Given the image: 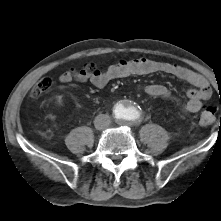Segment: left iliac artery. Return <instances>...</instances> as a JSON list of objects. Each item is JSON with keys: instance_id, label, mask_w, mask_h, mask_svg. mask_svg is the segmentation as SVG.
I'll use <instances>...</instances> for the list:
<instances>
[{"instance_id": "44dca946", "label": "left iliac artery", "mask_w": 221, "mask_h": 221, "mask_svg": "<svg viewBox=\"0 0 221 221\" xmlns=\"http://www.w3.org/2000/svg\"><path fill=\"white\" fill-rule=\"evenodd\" d=\"M139 116H140L139 113L137 111H134L129 115V120L134 121V120L138 119Z\"/></svg>"}]
</instances>
